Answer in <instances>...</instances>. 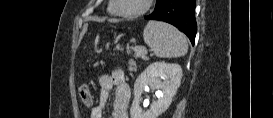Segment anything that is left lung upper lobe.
I'll use <instances>...</instances> for the list:
<instances>
[{
  "label": "left lung upper lobe",
  "instance_id": "1",
  "mask_svg": "<svg viewBox=\"0 0 273 118\" xmlns=\"http://www.w3.org/2000/svg\"><path fill=\"white\" fill-rule=\"evenodd\" d=\"M162 0H156V7L160 4V2H161ZM155 7V8H156Z\"/></svg>",
  "mask_w": 273,
  "mask_h": 118
}]
</instances>
